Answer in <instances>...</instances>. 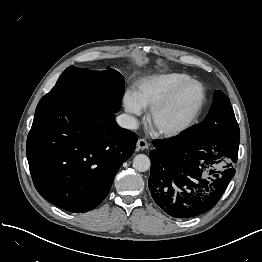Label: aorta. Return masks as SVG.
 <instances>
[{
  "label": "aorta",
  "instance_id": "762f6f07",
  "mask_svg": "<svg viewBox=\"0 0 262 262\" xmlns=\"http://www.w3.org/2000/svg\"><path fill=\"white\" fill-rule=\"evenodd\" d=\"M151 166V161L145 154H138L133 158V167L139 172L147 171Z\"/></svg>",
  "mask_w": 262,
  "mask_h": 262
}]
</instances>
